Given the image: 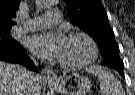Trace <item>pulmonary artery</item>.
I'll return each instance as SVG.
<instances>
[{"instance_id": "1", "label": "pulmonary artery", "mask_w": 135, "mask_h": 95, "mask_svg": "<svg viewBox=\"0 0 135 95\" xmlns=\"http://www.w3.org/2000/svg\"><path fill=\"white\" fill-rule=\"evenodd\" d=\"M61 21L62 16L60 12L54 9L48 11L46 14L42 16L30 19L29 22L21 29L24 31H35L48 26L59 24Z\"/></svg>"}]
</instances>
